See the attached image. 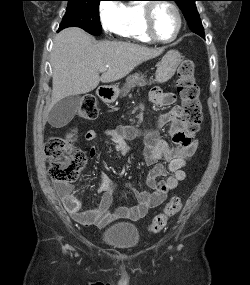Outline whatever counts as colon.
Segmentation results:
<instances>
[{"mask_svg":"<svg viewBox=\"0 0 250 285\" xmlns=\"http://www.w3.org/2000/svg\"><path fill=\"white\" fill-rule=\"evenodd\" d=\"M195 64L192 60H184L178 68L177 90L182 101L181 119L186 132L193 136L199 129L202 120V108L199 100V87L194 79ZM98 109L93 97L83 98L79 107V116L85 120L95 119ZM73 134L64 137L52 136L46 143V158L49 173L55 182H74L85 165V156L75 148ZM182 209L179 197L171 198L162 212L154 217L150 224L152 233L160 232L173 217Z\"/></svg>","mask_w":250,"mask_h":285,"instance_id":"1","label":"colon"}]
</instances>
